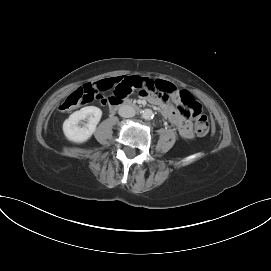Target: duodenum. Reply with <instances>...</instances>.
Listing matches in <instances>:
<instances>
[{"mask_svg":"<svg viewBox=\"0 0 271 271\" xmlns=\"http://www.w3.org/2000/svg\"><path fill=\"white\" fill-rule=\"evenodd\" d=\"M122 106H129V107H132V108H134L136 110L139 109L138 105H136V104H134V103H132V102H130L128 100H126L125 102H114L113 99H111L109 101L110 110H116V109H118L119 107H122Z\"/></svg>","mask_w":271,"mask_h":271,"instance_id":"410a0bca","label":"duodenum"}]
</instances>
